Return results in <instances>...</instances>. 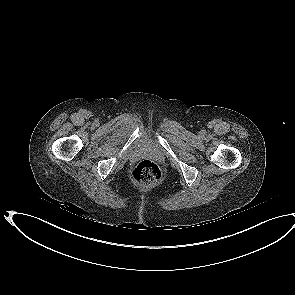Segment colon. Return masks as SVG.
<instances>
[{"instance_id":"1","label":"colon","mask_w":295,"mask_h":295,"mask_svg":"<svg viewBox=\"0 0 295 295\" xmlns=\"http://www.w3.org/2000/svg\"><path fill=\"white\" fill-rule=\"evenodd\" d=\"M133 179L141 187L153 186L161 179L160 168L151 160H142L133 170Z\"/></svg>"}]
</instances>
